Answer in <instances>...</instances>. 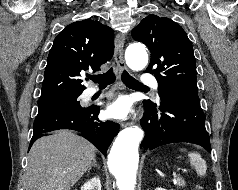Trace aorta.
<instances>
[{"label": "aorta", "instance_id": "obj_1", "mask_svg": "<svg viewBox=\"0 0 238 190\" xmlns=\"http://www.w3.org/2000/svg\"><path fill=\"white\" fill-rule=\"evenodd\" d=\"M125 59L132 70H142L148 64V54L141 43L128 46ZM143 138V131L137 127L123 129L115 139L108 156V167L116 178L119 190H134L138 169V147Z\"/></svg>", "mask_w": 238, "mask_h": 190}]
</instances>
